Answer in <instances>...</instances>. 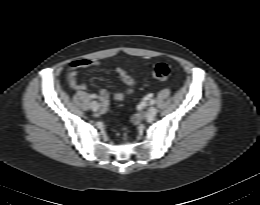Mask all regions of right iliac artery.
I'll return each instance as SVG.
<instances>
[{
    "instance_id": "1",
    "label": "right iliac artery",
    "mask_w": 260,
    "mask_h": 205,
    "mask_svg": "<svg viewBox=\"0 0 260 205\" xmlns=\"http://www.w3.org/2000/svg\"><path fill=\"white\" fill-rule=\"evenodd\" d=\"M92 98H95L96 96L95 95H91Z\"/></svg>"
}]
</instances>
